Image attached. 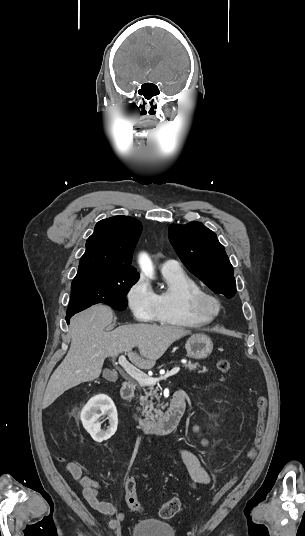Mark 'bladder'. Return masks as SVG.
I'll return each instance as SVG.
<instances>
[{
    "label": "bladder",
    "mask_w": 305,
    "mask_h": 536,
    "mask_svg": "<svg viewBox=\"0 0 305 536\" xmlns=\"http://www.w3.org/2000/svg\"><path fill=\"white\" fill-rule=\"evenodd\" d=\"M165 535L175 536V529L170 521L160 518H143L131 529V536Z\"/></svg>",
    "instance_id": "1"
}]
</instances>
